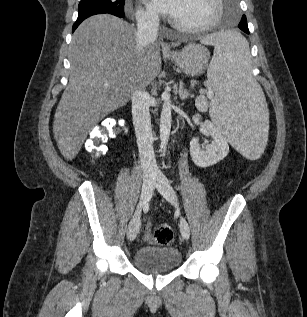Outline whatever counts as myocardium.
I'll return each instance as SVG.
<instances>
[{"label":"myocardium","mask_w":307,"mask_h":317,"mask_svg":"<svg viewBox=\"0 0 307 317\" xmlns=\"http://www.w3.org/2000/svg\"><path fill=\"white\" fill-rule=\"evenodd\" d=\"M215 6H216V11L213 16V18L208 22L203 25L199 26H185L182 25L178 22H176L174 19L172 20V25L179 31L187 33V34H200L207 32L214 28L218 22L220 21L222 15H223V10H224V5H223V0H214Z\"/></svg>","instance_id":"myocardium-1"}]
</instances>
